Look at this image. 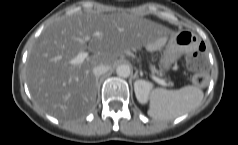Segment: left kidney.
Masks as SVG:
<instances>
[{"instance_id":"left-kidney-1","label":"left kidney","mask_w":238,"mask_h":145,"mask_svg":"<svg viewBox=\"0 0 238 145\" xmlns=\"http://www.w3.org/2000/svg\"><path fill=\"white\" fill-rule=\"evenodd\" d=\"M151 89H152V84L148 81L137 80L134 83L135 95L137 100L141 104L147 103Z\"/></svg>"}]
</instances>
